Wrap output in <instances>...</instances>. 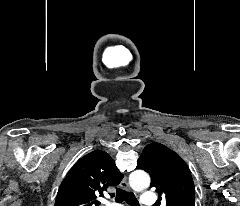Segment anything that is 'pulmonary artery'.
I'll list each match as a JSON object with an SVG mask.
<instances>
[{
	"label": "pulmonary artery",
	"mask_w": 240,
	"mask_h": 206,
	"mask_svg": "<svg viewBox=\"0 0 240 206\" xmlns=\"http://www.w3.org/2000/svg\"><path fill=\"white\" fill-rule=\"evenodd\" d=\"M157 200V197L154 192L146 191L143 193L141 197V203L145 206L153 205ZM110 206H118V205H110Z\"/></svg>",
	"instance_id": "pulmonary-artery-1"
}]
</instances>
